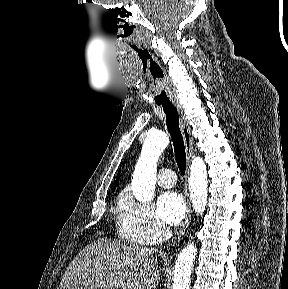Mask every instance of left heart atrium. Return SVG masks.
Here are the masks:
<instances>
[{
	"label": "left heart atrium",
	"mask_w": 288,
	"mask_h": 289,
	"mask_svg": "<svg viewBox=\"0 0 288 289\" xmlns=\"http://www.w3.org/2000/svg\"><path fill=\"white\" fill-rule=\"evenodd\" d=\"M158 216L167 224L177 225L184 218L186 203L177 191L162 193L157 200Z\"/></svg>",
	"instance_id": "left-heart-atrium-1"
}]
</instances>
